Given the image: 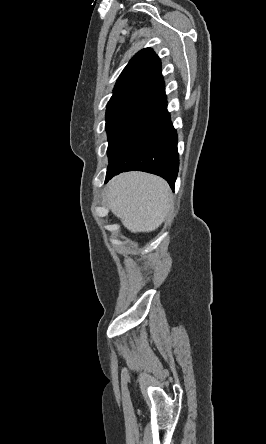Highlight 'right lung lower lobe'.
<instances>
[{
  "label": "right lung lower lobe",
  "mask_w": 266,
  "mask_h": 444,
  "mask_svg": "<svg viewBox=\"0 0 266 444\" xmlns=\"http://www.w3.org/2000/svg\"><path fill=\"white\" fill-rule=\"evenodd\" d=\"M177 133L165 108L109 159L106 180L125 171L138 170L163 177L174 190L179 168Z\"/></svg>",
  "instance_id": "right-lung-lower-lobe-1"
}]
</instances>
